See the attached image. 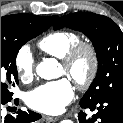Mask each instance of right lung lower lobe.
<instances>
[{
	"instance_id": "98d812e1",
	"label": "right lung lower lobe",
	"mask_w": 123,
	"mask_h": 123,
	"mask_svg": "<svg viewBox=\"0 0 123 123\" xmlns=\"http://www.w3.org/2000/svg\"><path fill=\"white\" fill-rule=\"evenodd\" d=\"M11 99L5 100L1 99V105H5L10 102ZM15 103L18 104V99L15 100ZM41 115L33 111H22L19 110L16 115H6L5 117L1 116V123H30L36 120H39Z\"/></svg>"
}]
</instances>
